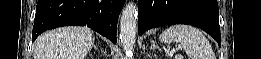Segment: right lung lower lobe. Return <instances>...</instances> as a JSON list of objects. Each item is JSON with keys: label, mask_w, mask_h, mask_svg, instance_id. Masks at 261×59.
Returning <instances> with one entry per match:
<instances>
[{"label": "right lung lower lobe", "mask_w": 261, "mask_h": 59, "mask_svg": "<svg viewBox=\"0 0 261 59\" xmlns=\"http://www.w3.org/2000/svg\"><path fill=\"white\" fill-rule=\"evenodd\" d=\"M124 3L125 0H38L32 41L48 29L87 25L115 44Z\"/></svg>", "instance_id": "obj_1"}]
</instances>
